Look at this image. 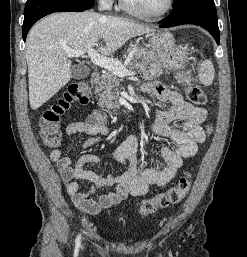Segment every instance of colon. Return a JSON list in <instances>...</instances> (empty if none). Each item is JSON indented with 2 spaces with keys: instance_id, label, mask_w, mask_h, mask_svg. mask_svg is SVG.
<instances>
[{
  "instance_id": "5ec220e1",
  "label": "colon",
  "mask_w": 247,
  "mask_h": 257,
  "mask_svg": "<svg viewBox=\"0 0 247 257\" xmlns=\"http://www.w3.org/2000/svg\"><path fill=\"white\" fill-rule=\"evenodd\" d=\"M91 86L87 82L79 81L71 83L63 96L40 118L39 129L40 138L43 145L49 150H56L61 144V117L72 104L85 105L90 100ZM188 100L195 105H204L207 97L204 91L197 86H189L185 90ZM212 131L211 127L207 128ZM192 184L191 174H185L179 182L170 187L165 192L159 193L152 198L144 199L140 205L139 213L142 217H147L155 213L158 209L175 205L182 201L189 193Z\"/></svg>"
}]
</instances>
